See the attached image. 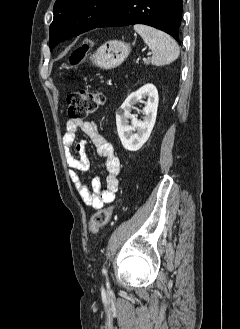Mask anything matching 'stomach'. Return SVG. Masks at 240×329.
Listing matches in <instances>:
<instances>
[{
  "mask_svg": "<svg viewBox=\"0 0 240 329\" xmlns=\"http://www.w3.org/2000/svg\"><path fill=\"white\" fill-rule=\"evenodd\" d=\"M130 51L128 43L111 40L101 45L90 59L102 69H112L119 66L128 57Z\"/></svg>",
  "mask_w": 240,
  "mask_h": 329,
  "instance_id": "0dacf381",
  "label": "stomach"
}]
</instances>
